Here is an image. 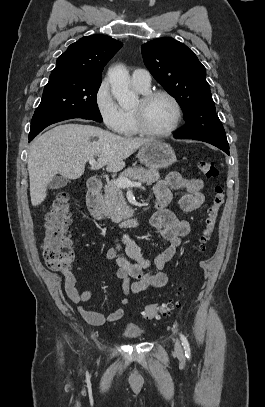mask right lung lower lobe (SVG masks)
<instances>
[{
  "instance_id": "98d812e1",
  "label": "right lung lower lobe",
  "mask_w": 265,
  "mask_h": 407,
  "mask_svg": "<svg viewBox=\"0 0 265 407\" xmlns=\"http://www.w3.org/2000/svg\"><path fill=\"white\" fill-rule=\"evenodd\" d=\"M34 137H29V140H32Z\"/></svg>"
}]
</instances>
